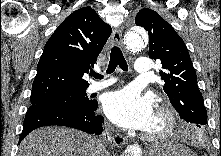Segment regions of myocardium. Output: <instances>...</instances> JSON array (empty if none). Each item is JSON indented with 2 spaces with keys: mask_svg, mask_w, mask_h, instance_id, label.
I'll return each instance as SVG.
<instances>
[{
  "mask_svg": "<svg viewBox=\"0 0 221 156\" xmlns=\"http://www.w3.org/2000/svg\"><path fill=\"white\" fill-rule=\"evenodd\" d=\"M156 117L160 125L157 129L147 130L144 138L149 141H159L169 137L177 124L174 112L167 106H160L157 110Z\"/></svg>",
  "mask_w": 221,
  "mask_h": 156,
  "instance_id": "obj_1",
  "label": "myocardium"
}]
</instances>
